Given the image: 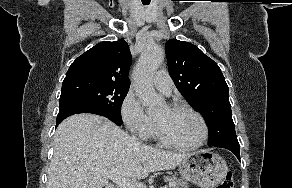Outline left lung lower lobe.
<instances>
[{
    "label": "left lung lower lobe",
    "instance_id": "1",
    "mask_svg": "<svg viewBox=\"0 0 292 188\" xmlns=\"http://www.w3.org/2000/svg\"><path fill=\"white\" fill-rule=\"evenodd\" d=\"M210 147H220V148H225L233 152L236 157L240 160V145L237 140L236 136H232L226 139H223Z\"/></svg>",
    "mask_w": 292,
    "mask_h": 188
}]
</instances>
